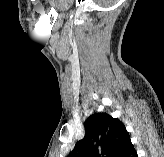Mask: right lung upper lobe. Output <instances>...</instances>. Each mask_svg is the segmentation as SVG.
Wrapping results in <instances>:
<instances>
[{"instance_id": "obj_1", "label": "right lung upper lobe", "mask_w": 164, "mask_h": 157, "mask_svg": "<svg viewBox=\"0 0 164 157\" xmlns=\"http://www.w3.org/2000/svg\"><path fill=\"white\" fill-rule=\"evenodd\" d=\"M85 137L67 157H118L130 136L124 124L107 113H95L85 122Z\"/></svg>"}]
</instances>
